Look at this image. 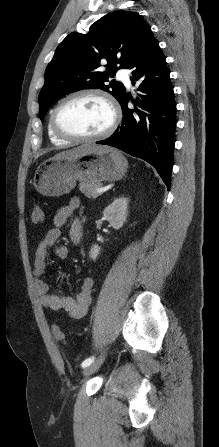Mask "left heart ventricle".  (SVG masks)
Instances as JSON below:
<instances>
[{"label": "left heart ventricle", "instance_id": "1", "mask_svg": "<svg viewBox=\"0 0 219 447\" xmlns=\"http://www.w3.org/2000/svg\"><path fill=\"white\" fill-rule=\"evenodd\" d=\"M109 106L95 96H82L66 103L58 113V125L68 133L89 136L102 132L110 123Z\"/></svg>", "mask_w": 219, "mask_h": 447}]
</instances>
